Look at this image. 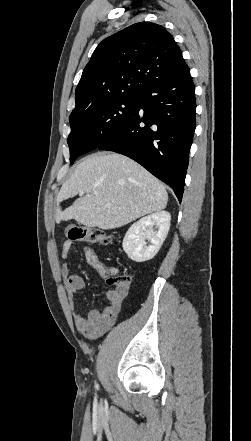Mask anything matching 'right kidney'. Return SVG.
Instances as JSON below:
<instances>
[{"label": "right kidney", "instance_id": "right-kidney-1", "mask_svg": "<svg viewBox=\"0 0 251 441\" xmlns=\"http://www.w3.org/2000/svg\"><path fill=\"white\" fill-rule=\"evenodd\" d=\"M170 220L169 212L158 211L135 222L126 232L122 243L127 256L135 262L152 259L167 237Z\"/></svg>", "mask_w": 251, "mask_h": 441}]
</instances>
